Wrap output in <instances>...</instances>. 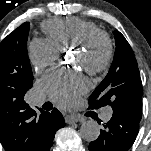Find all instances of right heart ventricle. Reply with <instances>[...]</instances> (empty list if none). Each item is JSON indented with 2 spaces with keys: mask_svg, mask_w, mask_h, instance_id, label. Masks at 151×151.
Masks as SVG:
<instances>
[{
  "mask_svg": "<svg viewBox=\"0 0 151 151\" xmlns=\"http://www.w3.org/2000/svg\"><path fill=\"white\" fill-rule=\"evenodd\" d=\"M43 31L59 50L76 47L99 27L90 21L79 18L52 19L46 21Z\"/></svg>",
  "mask_w": 151,
  "mask_h": 151,
  "instance_id": "obj_1",
  "label": "right heart ventricle"
}]
</instances>
